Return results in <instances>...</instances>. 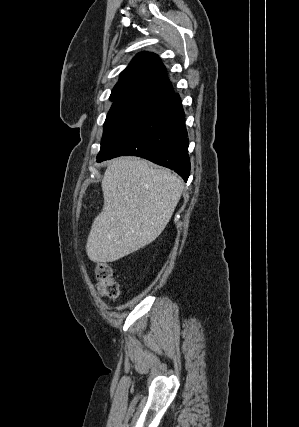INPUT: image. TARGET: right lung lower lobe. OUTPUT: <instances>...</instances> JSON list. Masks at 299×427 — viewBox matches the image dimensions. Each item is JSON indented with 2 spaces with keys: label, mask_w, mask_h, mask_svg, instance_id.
<instances>
[{
  "label": "right lung lower lobe",
  "mask_w": 299,
  "mask_h": 427,
  "mask_svg": "<svg viewBox=\"0 0 299 427\" xmlns=\"http://www.w3.org/2000/svg\"><path fill=\"white\" fill-rule=\"evenodd\" d=\"M189 141L185 115L178 94L154 105L112 146L97 155V162L122 155H136L177 172L190 175Z\"/></svg>",
  "instance_id": "1"
}]
</instances>
